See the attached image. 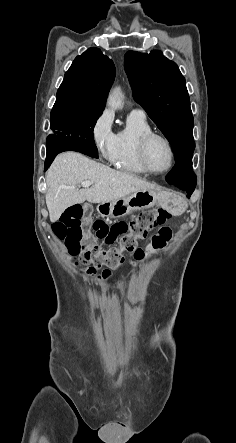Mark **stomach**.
Wrapping results in <instances>:
<instances>
[{"label":"stomach","mask_w":236,"mask_h":443,"mask_svg":"<svg viewBox=\"0 0 236 443\" xmlns=\"http://www.w3.org/2000/svg\"><path fill=\"white\" fill-rule=\"evenodd\" d=\"M161 205L174 215H180L187 207L186 201L177 194L157 189L140 190L118 200L101 203L97 211L102 217L122 218L132 212Z\"/></svg>","instance_id":"1"}]
</instances>
